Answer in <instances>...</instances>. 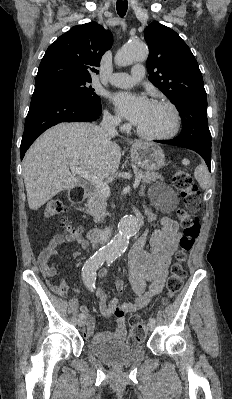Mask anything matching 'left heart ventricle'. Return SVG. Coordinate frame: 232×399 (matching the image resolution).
Listing matches in <instances>:
<instances>
[{
    "label": "left heart ventricle",
    "instance_id": "1",
    "mask_svg": "<svg viewBox=\"0 0 232 399\" xmlns=\"http://www.w3.org/2000/svg\"><path fill=\"white\" fill-rule=\"evenodd\" d=\"M174 123L171 109L164 105L151 104L144 118L136 127L144 134L159 136L168 133Z\"/></svg>",
    "mask_w": 232,
    "mask_h": 399
}]
</instances>
